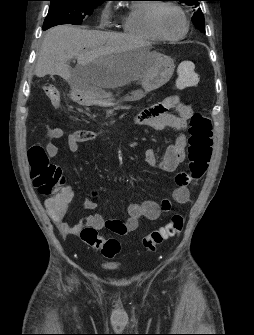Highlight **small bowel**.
<instances>
[{"label":"small bowel","mask_w":254,"mask_h":335,"mask_svg":"<svg viewBox=\"0 0 254 335\" xmlns=\"http://www.w3.org/2000/svg\"><path fill=\"white\" fill-rule=\"evenodd\" d=\"M171 110H174L175 113H172ZM191 116V106L182 102L178 95H171L163 101L153 105L139 117V124L157 130L172 128L179 132L175 142L168 146L159 163V168L161 170L165 172H175L177 167L184 161L186 147L184 131L186 129L187 121ZM49 136L53 140H58L64 136V131L62 128L54 127L50 130ZM93 139H95V134L89 130L71 132L67 138L68 149L70 152L74 153L78 151L81 143ZM46 152L50 158L55 157L58 154L57 145L52 142L48 143L46 145ZM144 157L145 162L149 166L157 164L156 155L153 149H147ZM33 180H35V178H33ZM190 181L191 179L187 173L179 172L176 174V187L172 192V200L175 203L185 204L189 201L190 191L188 185ZM73 197V191L67 187L56 198L58 200H64L62 210L53 211L48 208L50 218L63 235H76L85 227H93L96 230L106 229L116 235L124 236L138 229L139 220L141 218L157 220L163 212H168L171 209V201L168 199H164L160 203L154 201L132 203L128 206V217L124 221L119 219H107L103 215L95 213L86 216L80 222L72 225L64 221V216L67 204L72 201ZM49 201L50 199L46 201V205ZM83 206L87 210H94L97 208V203L91 199H85Z\"/></svg>","instance_id":"obj_1"}]
</instances>
